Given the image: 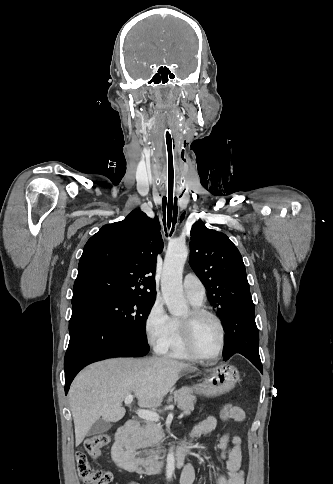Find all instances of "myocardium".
I'll return each mask as SVG.
<instances>
[{
  "label": "myocardium",
  "instance_id": "myocardium-1",
  "mask_svg": "<svg viewBox=\"0 0 333 484\" xmlns=\"http://www.w3.org/2000/svg\"><path fill=\"white\" fill-rule=\"evenodd\" d=\"M204 317L212 318L220 330V343L218 350L213 356L210 357L201 355L196 349L194 341L195 324L198 320ZM180 328L184 345L193 358L204 362H213L222 355L226 342V330L221 318L216 313L203 307H194L188 312L186 317L180 319Z\"/></svg>",
  "mask_w": 333,
  "mask_h": 484
}]
</instances>
